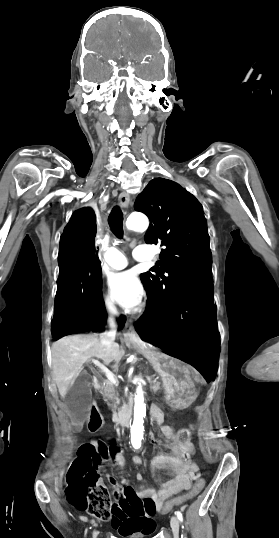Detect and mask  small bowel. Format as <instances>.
Segmentation results:
<instances>
[{
  "mask_svg": "<svg viewBox=\"0 0 279 538\" xmlns=\"http://www.w3.org/2000/svg\"><path fill=\"white\" fill-rule=\"evenodd\" d=\"M154 421L160 426L162 436L165 439L173 440L170 445L172 455H160L152 460L150 464L151 476L159 483V488L154 490L142 485L139 488V494H150L156 506L160 508L170 496L190 489L192 478L187 473L184 460L186 447L175 441V431L171 426L163 425V415L161 413L154 416ZM152 440L153 443H157L155 438ZM92 444L96 445V442ZM132 461L136 465L143 464V460L139 456L133 457ZM116 462L124 475L125 462L122 456H119ZM137 479L141 480L142 476L138 474ZM111 524L121 535H128L133 532L149 534L155 529V522L152 517L121 518L114 516L111 518Z\"/></svg>",
  "mask_w": 279,
  "mask_h": 538,
  "instance_id": "obj_1",
  "label": "small bowel"
}]
</instances>
